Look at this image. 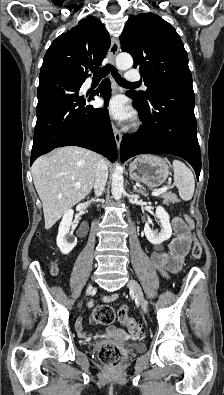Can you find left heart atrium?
<instances>
[{"instance_id":"1","label":"left heart atrium","mask_w":224,"mask_h":395,"mask_svg":"<svg viewBox=\"0 0 224 395\" xmlns=\"http://www.w3.org/2000/svg\"><path fill=\"white\" fill-rule=\"evenodd\" d=\"M108 110L115 118L120 120L131 117V112L125 106L121 97L112 98L108 103Z\"/></svg>"}]
</instances>
